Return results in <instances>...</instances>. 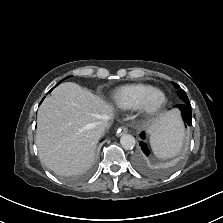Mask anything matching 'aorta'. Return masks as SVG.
<instances>
[{"mask_svg": "<svg viewBox=\"0 0 223 223\" xmlns=\"http://www.w3.org/2000/svg\"><path fill=\"white\" fill-rule=\"evenodd\" d=\"M120 143H121V146L124 148V149H133V147L135 146V138L130 135V134H124L121 136L120 138Z\"/></svg>", "mask_w": 223, "mask_h": 223, "instance_id": "762f6f07", "label": "aorta"}]
</instances>
